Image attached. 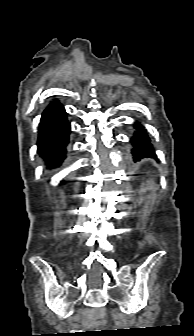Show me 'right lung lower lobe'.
I'll return each instance as SVG.
<instances>
[{
	"label": "right lung lower lobe",
	"instance_id": "1",
	"mask_svg": "<svg viewBox=\"0 0 194 336\" xmlns=\"http://www.w3.org/2000/svg\"><path fill=\"white\" fill-rule=\"evenodd\" d=\"M70 131L63 106L59 102L51 103L42 114L37 142V152L48 168L60 166L65 159Z\"/></svg>",
	"mask_w": 194,
	"mask_h": 336
}]
</instances>
